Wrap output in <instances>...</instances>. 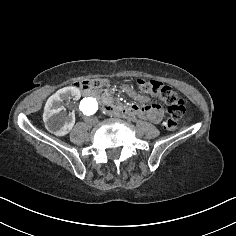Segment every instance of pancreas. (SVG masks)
I'll return each mask as SVG.
<instances>
[{"instance_id": "pancreas-1", "label": "pancreas", "mask_w": 236, "mask_h": 236, "mask_svg": "<svg viewBox=\"0 0 236 236\" xmlns=\"http://www.w3.org/2000/svg\"><path fill=\"white\" fill-rule=\"evenodd\" d=\"M110 96H111L110 92L108 90H105L101 97L103 100H105L107 98H110Z\"/></svg>"}]
</instances>
